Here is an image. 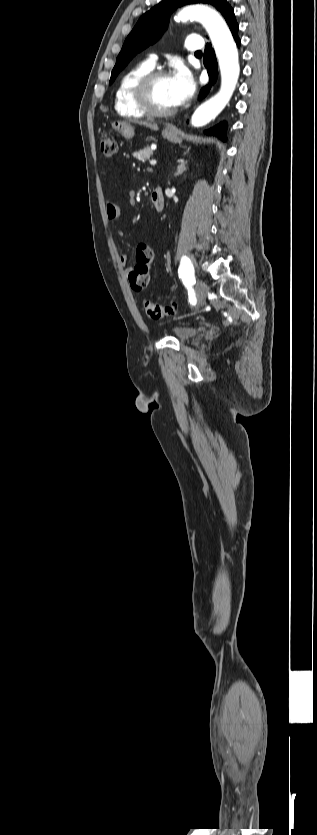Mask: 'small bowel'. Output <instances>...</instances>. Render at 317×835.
Listing matches in <instances>:
<instances>
[{"label":"small bowel","mask_w":317,"mask_h":835,"mask_svg":"<svg viewBox=\"0 0 317 835\" xmlns=\"http://www.w3.org/2000/svg\"><path fill=\"white\" fill-rule=\"evenodd\" d=\"M106 215L109 221H117L120 218V209L119 207L109 202L106 206ZM154 257V249L153 246L148 242H143L138 245L137 253H136V261L139 259L142 260H149L152 262ZM120 263L122 265H126L128 262V256L124 253L120 254L119 256ZM132 269H130L131 271Z\"/></svg>","instance_id":"small-bowel-1"}]
</instances>
